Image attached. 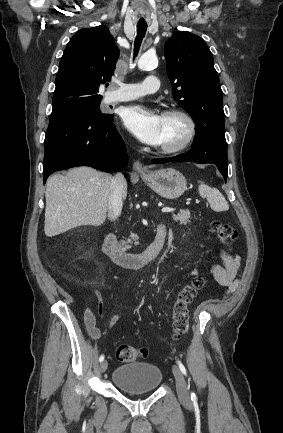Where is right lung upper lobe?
<instances>
[{
	"label": "right lung upper lobe",
	"mask_w": 283,
	"mask_h": 433,
	"mask_svg": "<svg viewBox=\"0 0 283 433\" xmlns=\"http://www.w3.org/2000/svg\"><path fill=\"white\" fill-rule=\"evenodd\" d=\"M118 56L119 49L106 26L75 33L59 63L52 113L101 101L99 86L111 80Z\"/></svg>",
	"instance_id": "obj_1"
}]
</instances>
